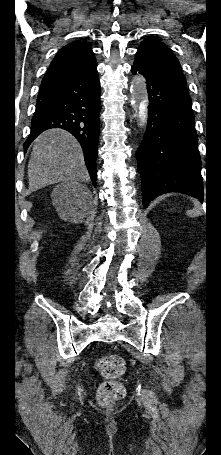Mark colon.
Segmentation results:
<instances>
[{"label": "colon", "instance_id": "obj_1", "mask_svg": "<svg viewBox=\"0 0 221 455\" xmlns=\"http://www.w3.org/2000/svg\"><path fill=\"white\" fill-rule=\"evenodd\" d=\"M125 367V361L119 355H107L96 361V370L107 379L100 385L97 393L102 406L109 407L124 396L125 387L119 378L123 375Z\"/></svg>", "mask_w": 221, "mask_h": 455}]
</instances>
